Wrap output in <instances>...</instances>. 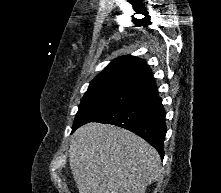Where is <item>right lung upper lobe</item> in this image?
Returning a JSON list of instances; mask_svg holds the SVG:
<instances>
[{"mask_svg":"<svg viewBox=\"0 0 221 193\" xmlns=\"http://www.w3.org/2000/svg\"><path fill=\"white\" fill-rule=\"evenodd\" d=\"M117 83L146 88L154 83V78L144 60L126 55L114 59L91 81L88 89Z\"/></svg>","mask_w":221,"mask_h":193,"instance_id":"obj_1","label":"right lung upper lobe"}]
</instances>
